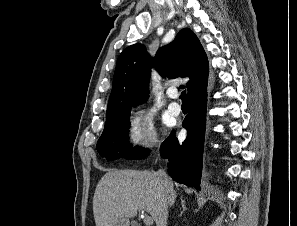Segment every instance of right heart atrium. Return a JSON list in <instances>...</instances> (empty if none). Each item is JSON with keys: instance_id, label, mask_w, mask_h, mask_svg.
I'll use <instances>...</instances> for the list:
<instances>
[{"instance_id": "right-heart-atrium-1", "label": "right heart atrium", "mask_w": 297, "mask_h": 226, "mask_svg": "<svg viewBox=\"0 0 297 226\" xmlns=\"http://www.w3.org/2000/svg\"><path fill=\"white\" fill-rule=\"evenodd\" d=\"M129 137L131 143L142 150H149L158 143V135L149 113L140 110L131 119Z\"/></svg>"}]
</instances>
